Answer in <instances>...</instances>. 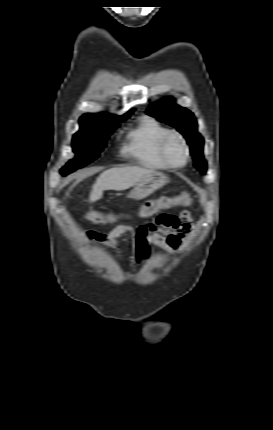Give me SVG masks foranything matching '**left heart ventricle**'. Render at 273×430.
<instances>
[{"label": "left heart ventricle", "instance_id": "1", "mask_svg": "<svg viewBox=\"0 0 273 430\" xmlns=\"http://www.w3.org/2000/svg\"><path fill=\"white\" fill-rule=\"evenodd\" d=\"M167 156L174 163H180L184 158V148L181 141L177 138L169 140L166 147Z\"/></svg>", "mask_w": 273, "mask_h": 430}]
</instances>
